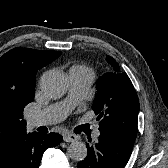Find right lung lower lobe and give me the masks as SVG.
<instances>
[{
    "instance_id": "right-lung-lower-lobe-1",
    "label": "right lung lower lobe",
    "mask_w": 168,
    "mask_h": 168,
    "mask_svg": "<svg viewBox=\"0 0 168 168\" xmlns=\"http://www.w3.org/2000/svg\"><path fill=\"white\" fill-rule=\"evenodd\" d=\"M62 141L57 133L22 132L0 152V168H39L44 151Z\"/></svg>"
}]
</instances>
